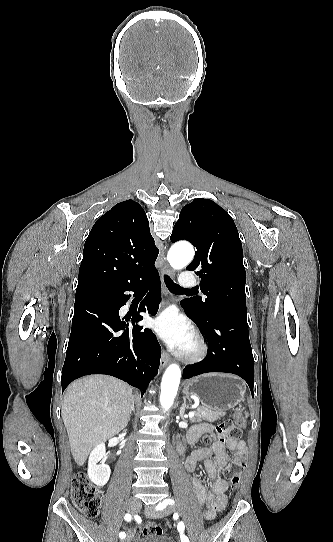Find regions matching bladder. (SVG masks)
Masks as SVG:
<instances>
[{
    "label": "bladder",
    "instance_id": "bladder-1",
    "mask_svg": "<svg viewBox=\"0 0 333 542\" xmlns=\"http://www.w3.org/2000/svg\"><path fill=\"white\" fill-rule=\"evenodd\" d=\"M136 542H174L171 537L161 534H148L137 539Z\"/></svg>",
    "mask_w": 333,
    "mask_h": 542
}]
</instances>
